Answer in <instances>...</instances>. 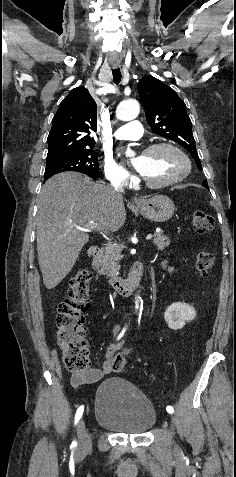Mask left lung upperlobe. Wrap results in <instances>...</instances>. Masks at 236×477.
I'll return each instance as SVG.
<instances>
[{"label": "left lung upper lobe", "instance_id": "5c2ea615", "mask_svg": "<svg viewBox=\"0 0 236 477\" xmlns=\"http://www.w3.org/2000/svg\"><path fill=\"white\" fill-rule=\"evenodd\" d=\"M138 92L152 130L186 148L198 169L202 170L185 103L173 89L152 76H144L140 80ZM203 186L209 189L207 180Z\"/></svg>", "mask_w": 236, "mask_h": 477}]
</instances>
